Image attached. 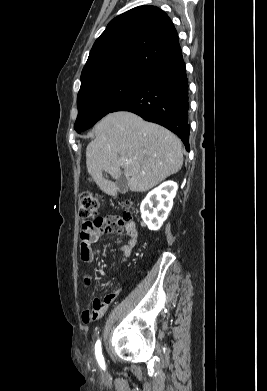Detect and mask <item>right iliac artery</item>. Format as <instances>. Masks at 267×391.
Here are the masks:
<instances>
[{"instance_id":"1","label":"right iliac artery","mask_w":267,"mask_h":391,"mask_svg":"<svg viewBox=\"0 0 267 391\" xmlns=\"http://www.w3.org/2000/svg\"><path fill=\"white\" fill-rule=\"evenodd\" d=\"M95 354H96V358L98 360L99 365L102 368H104L105 364H104V360H103V356H102V352H101V343L99 340L96 342V345H95Z\"/></svg>"}]
</instances>
